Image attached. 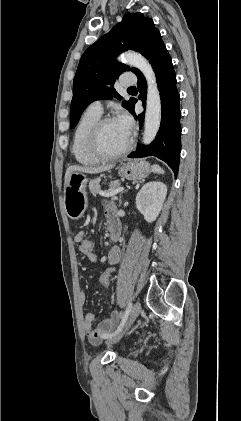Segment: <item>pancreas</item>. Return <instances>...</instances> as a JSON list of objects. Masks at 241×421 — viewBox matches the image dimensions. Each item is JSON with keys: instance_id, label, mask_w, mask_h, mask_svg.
<instances>
[{"instance_id": "obj_1", "label": "pancreas", "mask_w": 241, "mask_h": 421, "mask_svg": "<svg viewBox=\"0 0 241 421\" xmlns=\"http://www.w3.org/2000/svg\"><path fill=\"white\" fill-rule=\"evenodd\" d=\"M100 178H96L93 179L89 182V190L93 195H96L97 193L100 192L101 187H100ZM110 188H118L120 186V182L119 181H112L109 184Z\"/></svg>"}]
</instances>
